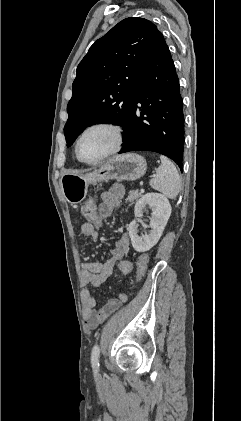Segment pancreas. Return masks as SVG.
<instances>
[{"mask_svg":"<svg viewBox=\"0 0 241 421\" xmlns=\"http://www.w3.org/2000/svg\"><path fill=\"white\" fill-rule=\"evenodd\" d=\"M140 196H141V193H139L138 191H130L127 199L129 202H133L137 200Z\"/></svg>","mask_w":241,"mask_h":421,"instance_id":"cf45deb5","label":"pancreas"}]
</instances>
